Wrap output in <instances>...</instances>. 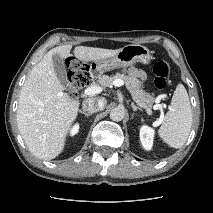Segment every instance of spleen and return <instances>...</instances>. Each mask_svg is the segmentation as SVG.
<instances>
[{"mask_svg":"<svg viewBox=\"0 0 213 213\" xmlns=\"http://www.w3.org/2000/svg\"><path fill=\"white\" fill-rule=\"evenodd\" d=\"M191 126L192 109L188 93L183 84H178L158 134L166 144L178 149L186 142Z\"/></svg>","mask_w":213,"mask_h":213,"instance_id":"1","label":"spleen"}]
</instances>
